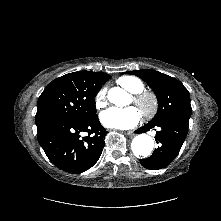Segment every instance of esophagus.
Returning <instances> with one entry per match:
<instances>
[{
	"label": "esophagus",
	"mask_w": 221,
	"mask_h": 221,
	"mask_svg": "<svg viewBox=\"0 0 221 221\" xmlns=\"http://www.w3.org/2000/svg\"><path fill=\"white\" fill-rule=\"evenodd\" d=\"M127 134L130 136V137H133L135 134L133 131H128Z\"/></svg>",
	"instance_id": "obj_1"
}]
</instances>
